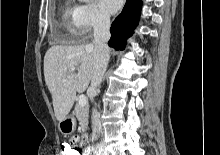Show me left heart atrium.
<instances>
[{
  "mask_svg": "<svg viewBox=\"0 0 220 155\" xmlns=\"http://www.w3.org/2000/svg\"><path fill=\"white\" fill-rule=\"evenodd\" d=\"M99 4L103 10L113 14L121 8L123 0H99Z\"/></svg>",
  "mask_w": 220,
  "mask_h": 155,
  "instance_id": "39dd6f15",
  "label": "left heart atrium"
}]
</instances>
